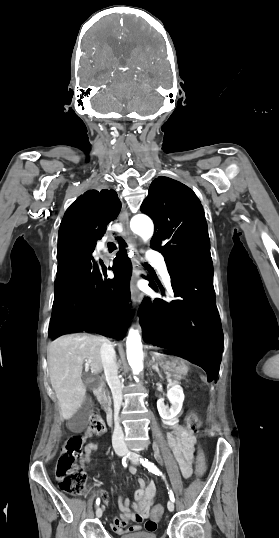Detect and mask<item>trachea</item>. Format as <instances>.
<instances>
[{"mask_svg":"<svg viewBox=\"0 0 279 538\" xmlns=\"http://www.w3.org/2000/svg\"><path fill=\"white\" fill-rule=\"evenodd\" d=\"M108 245H109V247H112L113 249H116V245L114 243L110 242Z\"/></svg>","mask_w":279,"mask_h":538,"instance_id":"trachea-1","label":"trachea"}]
</instances>
